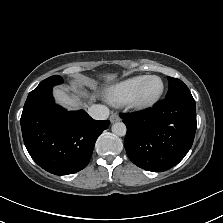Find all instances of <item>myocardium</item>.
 <instances>
[{"instance_id":"f54148a6","label":"myocardium","mask_w":223,"mask_h":223,"mask_svg":"<svg viewBox=\"0 0 223 223\" xmlns=\"http://www.w3.org/2000/svg\"><path fill=\"white\" fill-rule=\"evenodd\" d=\"M152 78H156L160 81V88H159L158 92L149 100H145V101L140 100L139 94H140L142 84L145 81L152 79ZM163 91H164V83L159 76H157V75L144 76L140 85L138 86L136 91L129 97L126 104L129 108L137 110V111L147 110V109L153 107L159 101L160 97L163 94Z\"/></svg>"}]
</instances>
